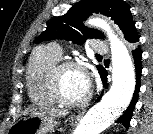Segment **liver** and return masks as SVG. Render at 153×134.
Wrapping results in <instances>:
<instances>
[{
  "mask_svg": "<svg viewBox=\"0 0 153 134\" xmlns=\"http://www.w3.org/2000/svg\"><path fill=\"white\" fill-rule=\"evenodd\" d=\"M35 113H39L40 116H42L46 119H51V120L56 119V118H60V117L65 116L67 114L66 111L60 110L57 108H40V109L29 108L24 111V115H27V114L33 115Z\"/></svg>",
  "mask_w": 153,
  "mask_h": 134,
  "instance_id": "liver-1",
  "label": "liver"
}]
</instances>
